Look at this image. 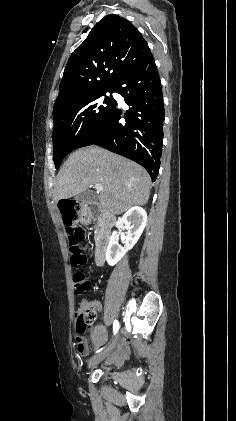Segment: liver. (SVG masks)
<instances>
[{
	"label": "liver",
	"instance_id": "obj_1",
	"mask_svg": "<svg viewBox=\"0 0 236 421\" xmlns=\"http://www.w3.org/2000/svg\"><path fill=\"white\" fill-rule=\"evenodd\" d=\"M93 184H102V213L121 215L148 202L151 178L140 164L99 146L79 148L61 166L54 180V200L70 198Z\"/></svg>",
	"mask_w": 236,
	"mask_h": 421
}]
</instances>
